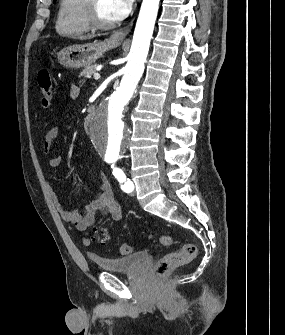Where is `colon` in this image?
<instances>
[{"instance_id":"colon-1","label":"colon","mask_w":285,"mask_h":335,"mask_svg":"<svg viewBox=\"0 0 285 335\" xmlns=\"http://www.w3.org/2000/svg\"><path fill=\"white\" fill-rule=\"evenodd\" d=\"M38 84L40 88V103L45 109L49 108L53 98L52 80L50 72L47 68H42L38 72ZM96 237L102 242L109 240V234L106 231L96 232ZM157 240L164 246H169L173 243L171 235H159ZM131 247L127 244H122L119 247V253L122 255L129 254ZM197 255V247L195 244L187 242L182 245L180 250L172 252L161 257L154 266V274L157 277H163L171 273L175 268L183 266L191 262Z\"/></svg>"}]
</instances>
